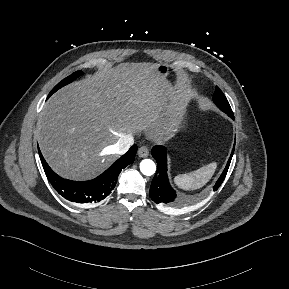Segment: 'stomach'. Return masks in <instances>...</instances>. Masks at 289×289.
<instances>
[{
  "label": "stomach",
  "instance_id": "1",
  "mask_svg": "<svg viewBox=\"0 0 289 289\" xmlns=\"http://www.w3.org/2000/svg\"><path fill=\"white\" fill-rule=\"evenodd\" d=\"M156 71L160 76L167 77L169 74V67L166 64H157Z\"/></svg>",
  "mask_w": 289,
  "mask_h": 289
}]
</instances>
